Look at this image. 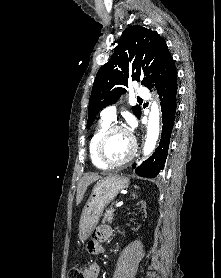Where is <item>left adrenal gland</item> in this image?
I'll list each match as a JSON object with an SVG mask.
<instances>
[{
	"label": "left adrenal gland",
	"mask_w": 221,
	"mask_h": 278,
	"mask_svg": "<svg viewBox=\"0 0 221 278\" xmlns=\"http://www.w3.org/2000/svg\"><path fill=\"white\" fill-rule=\"evenodd\" d=\"M132 196L135 197L136 195H135V194H132Z\"/></svg>",
	"instance_id": "obj_1"
}]
</instances>
